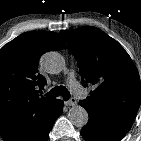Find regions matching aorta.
Here are the masks:
<instances>
[{"instance_id": "obj_1", "label": "aorta", "mask_w": 141, "mask_h": 141, "mask_svg": "<svg viewBox=\"0 0 141 141\" xmlns=\"http://www.w3.org/2000/svg\"><path fill=\"white\" fill-rule=\"evenodd\" d=\"M40 63L43 69L50 74H57L64 67L63 57L55 51L45 53L41 57ZM68 118L74 126L82 128L87 124L89 116L82 106L76 105L70 108Z\"/></svg>"}]
</instances>
